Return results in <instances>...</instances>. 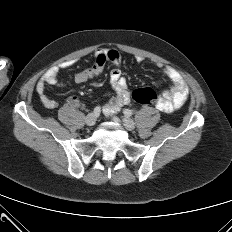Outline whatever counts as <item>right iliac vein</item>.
Returning <instances> with one entry per match:
<instances>
[{
	"label": "right iliac vein",
	"instance_id": "63e3f726",
	"mask_svg": "<svg viewBox=\"0 0 232 232\" xmlns=\"http://www.w3.org/2000/svg\"><path fill=\"white\" fill-rule=\"evenodd\" d=\"M85 123L88 126H93L96 123V116L93 113L88 114L85 118Z\"/></svg>",
	"mask_w": 232,
	"mask_h": 232
}]
</instances>
